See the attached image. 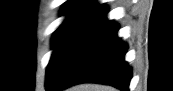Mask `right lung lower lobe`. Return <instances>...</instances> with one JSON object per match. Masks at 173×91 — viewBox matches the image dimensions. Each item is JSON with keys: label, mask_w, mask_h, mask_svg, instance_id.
Segmentation results:
<instances>
[{"label": "right lung lower lobe", "mask_w": 173, "mask_h": 91, "mask_svg": "<svg viewBox=\"0 0 173 91\" xmlns=\"http://www.w3.org/2000/svg\"><path fill=\"white\" fill-rule=\"evenodd\" d=\"M107 11L84 24L46 80L47 91L84 83H100L128 91L132 69L124 60L127 45L117 36L118 25Z\"/></svg>", "instance_id": "obj_1"}]
</instances>
